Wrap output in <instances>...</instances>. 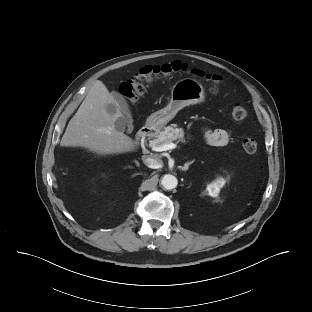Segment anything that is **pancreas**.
Returning <instances> with one entry per match:
<instances>
[{"instance_id":"pancreas-1","label":"pancreas","mask_w":312,"mask_h":312,"mask_svg":"<svg viewBox=\"0 0 312 312\" xmlns=\"http://www.w3.org/2000/svg\"><path fill=\"white\" fill-rule=\"evenodd\" d=\"M176 140L185 142L184 130L182 128H178L177 124H171L165 127L163 131L159 132L156 139L150 141V146H160L163 144L172 143Z\"/></svg>"}]
</instances>
